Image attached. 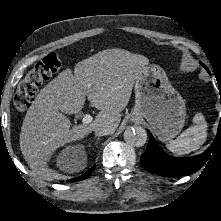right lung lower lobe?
Segmentation results:
<instances>
[{
    "instance_id": "right-lung-lower-lobe-1",
    "label": "right lung lower lobe",
    "mask_w": 221,
    "mask_h": 221,
    "mask_svg": "<svg viewBox=\"0 0 221 221\" xmlns=\"http://www.w3.org/2000/svg\"><path fill=\"white\" fill-rule=\"evenodd\" d=\"M95 168V165L90 168L86 173H84L83 175L79 176V177H76V178H73L71 179L70 181L71 182H75V181H80V180H83V179H86L90 176L91 172L94 170Z\"/></svg>"
}]
</instances>
